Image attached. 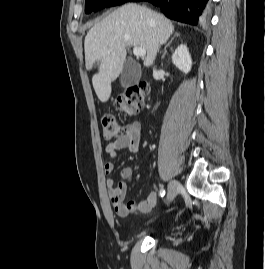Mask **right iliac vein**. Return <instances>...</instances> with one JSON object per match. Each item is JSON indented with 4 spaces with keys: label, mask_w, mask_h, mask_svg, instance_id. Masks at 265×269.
Instances as JSON below:
<instances>
[{
    "label": "right iliac vein",
    "mask_w": 265,
    "mask_h": 269,
    "mask_svg": "<svg viewBox=\"0 0 265 269\" xmlns=\"http://www.w3.org/2000/svg\"><path fill=\"white\" fill-rule=\"evenodd\" d=\"M179 188H180V183L177 180L170 181L168 195H167V203L171 202L176 197Z\"/></svg>",
    "instance_id": "1"
}]
</instances>
